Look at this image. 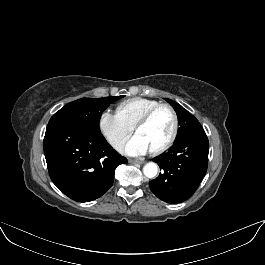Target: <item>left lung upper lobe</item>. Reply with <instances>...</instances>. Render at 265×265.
<instances>
[{
  "label": "left lung upper lobe",
  "instance_id": "1",
  "mask_svg": "<svg viewBox=\"0 0 265 265\" xmlns=\"http://www.w3.org/2000/svg\"><path fill=\"white\" fill-rule=\"evenodd\" d=\"M165 100L174 108L177 116L180 128L175 141L189 137L195 133L203 131V127L199 121L180 104L174 102L171 99L165 98Z\"/></svg>",
  "mask_w": 265,
  "mask_h": 265
}]
</instances>
